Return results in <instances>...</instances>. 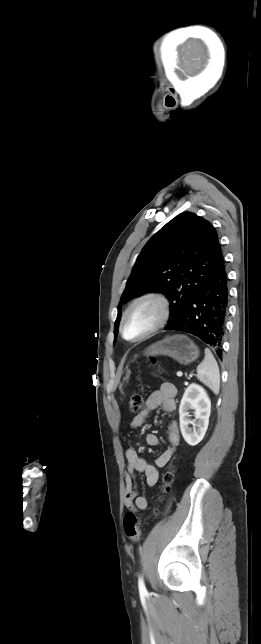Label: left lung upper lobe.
I'll list each match as a JSON object with an SVG mask.
<instances>
[{
	"label": "left lung upper lobe",
	"instance_id": "5c2ea615",
	"mask_svg": "<svg viewBox=\"0 0 261 644\" xmlns=\"http://www.w3.org/2000/svg\"><path fill=\"white\" fill-rule=\"evenodd\" d=\"M215 228L193 213H181L168 222L139 254L118 306L147 292L164 293L171 305L168 324L185 310L192 297L222 259Z\"/></svg>",
	"mask_w": 261,
	"mask_h": 644
}]
</instances>
